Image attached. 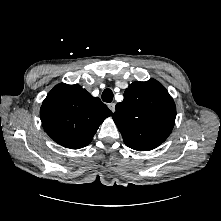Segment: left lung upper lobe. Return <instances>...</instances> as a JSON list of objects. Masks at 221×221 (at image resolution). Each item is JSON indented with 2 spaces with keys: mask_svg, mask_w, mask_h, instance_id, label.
Masks as SVG:
<instances>
[{
  "mask_svg": "<svg viewBox=\"0 0 221 221\" xmlns=\"http://www.w3.org/2000/svg\"><path fill=\"white\" fill-rule=\"evenodd\" d=\"M112 117L128 147L148 151L170 135L176 108L168 91L158 81L150 79L130 84Z\"/></svg>",
  "mask_w": 221,
  "mask_h": 221,
  "instance_id": "obj_1",
  "label": "left lung upper lobe"
}]
</instances>
